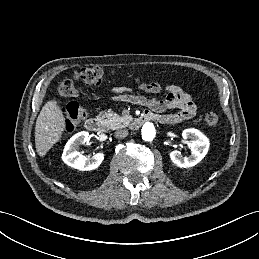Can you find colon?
Here are the masks:
<instances>
[{
	"label": "colon",
	"instance_id": "colon-1",
	"mask_svg": "<svg viewBox=\"0 0 259 259\" xmlns=\"http://www.w3.org/2000/svg\"><path fill=\"white\" fill-rule=\"evenodd\" d=\"M105 80V71L100 67H85L76 71L73 79H63L58 92L64 97H76L78 88L75 81L87 85H99ZM64 127L66 131H72L77 124L87 117V109L76 101L70 102L63 110ZM205 122L210 126H215L219 122V115L210 111L205 115Z\"/></svg>",
	"mask_w": 259,
	"mask_h": 259
}]
</instances>
